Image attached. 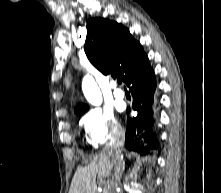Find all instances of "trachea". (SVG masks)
Here are the masks:
<instances>
[{
  "label": "trachea",
  "mask_w": 221,
  "mask_h": 193,
  "mask_svg": "<svg viewBox=\"0 0 221 193\" xmlns=\"http://www.w3.org/2000/svg\"><path fill=\"white\" fill-rule=\"evenodd\" d=\"M117 82H118V84H121V83H122V81H121L120 78L117 79Z\"/></svg>",
  "instance_id": "1"
}]
</instances>
